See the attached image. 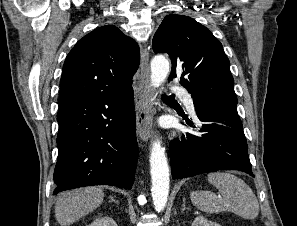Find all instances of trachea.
Listing matches in <instances>:
<instances>
[{"mask_svg":"<svg viewBox=\"0 0 297 226\" xmlns=\"http://www.w3.org/2000/svg\"><path fill=\"white\" fill-rule=\"evenodd\" d=\"M162 100L163 101H166V102H176L174 96L163 95L162 96Z\"/></svg>","mask_w":297,"mask_h":226,"instance_id":"1","label":"trachea"}]
</instances>
